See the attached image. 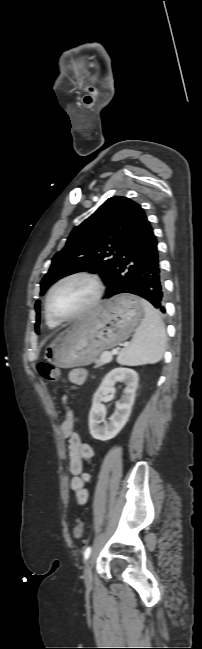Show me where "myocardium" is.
Returning a JSON list of instances; mask_svg holds the SVG:
<instances>
[{"label": "myocardium", "mask_w": 202, "mask_h": 649, "mask_svg": "<svg viewBox=\"0 0 202 649\" xmlns=\"http://www.w3.org/2000/svg\"><path fill=\"white\" fill-rule=\"evenodd\" d=\"M74 278H83V279L89 281L94 287L93 297L82 309H80L79 311H77L73 315L68 316V317H59V316L55 315L52 312L51 308H50V298L53 295L54 291L62 283L66 282L68 280L74 279ZM104 290H105L104 283H103L102 279L100 278V276L97 275L96 273L91 272V271H87V270H77V271L70 272V273L60 277L50 287V289L47 292V295L45 297V312L52 321H54V322H56L58 324L76 320V319L82 317L83 315L87 314L88 312H90L93 308H95L98 305V303L100 302V300H101V298H102V296L104 294Z\"/></svg>", "instance_id": "myocardium-1"}]
</instances>
